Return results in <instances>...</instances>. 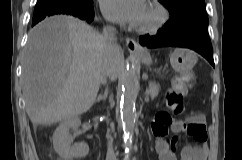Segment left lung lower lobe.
I'll use <instances>...</instances> for the list:
<instances>
[{
    "mask_svg": "<svg viewBox=\"0 0 242 160\" xmlns=\"http://www.w3.org/2000/svg\"><path fill=\"white\" fill-rule=\"evenodd\" d=\"M139 42L148 48L169 46L190 48L204 56L215 67L207 26H189L175 33H170L163 27L155 36H140Z\"/></svg>",
    "mask_w": 242,
    "mask_h": 160,
    "instance_id": "0a47b994",
    "label": "left lung lower lobe"
}]
</instances>
